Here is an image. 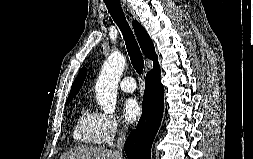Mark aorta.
Masks as SVG:
<instances>
[{
	"label": "aorta",
	"mask_w": 253,
	"mask_h": 159,
	"mask_svg": "<svg viewBox=\"0 0 253 159\" xmlns=\"http://www.w3.org/2000/svg\"><path fill=\"white\" fill-rule=\"evenodd\" d=\"M125 67V57L119 52H113L103 64L96 82V99L105 113H114L118 83Z\"/></svg>",
	"instance_id": "aorta-1"
}]
</instances>
